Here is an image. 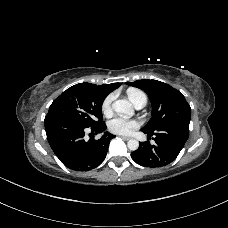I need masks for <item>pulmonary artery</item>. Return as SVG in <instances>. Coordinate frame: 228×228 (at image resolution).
Returning a JSON list of instances; mask_svg holds the SVG:
<instances>
[{"instance_id":"1","label":"pulmonary artery","mask_w":228,"mask_h":228,"mask_svg":"<svg viewBox=\"0 0 228 228\" xmlns=\"http://www.w3.org/2000/svg\"><path fill=\"white\" fill-rule=\"evenodd\" d=\"M146 103H147V98L145 95H139L133 101V104L136 109H142L143 107H145Z\"/></svg>"}]
</instances>
